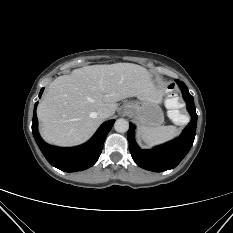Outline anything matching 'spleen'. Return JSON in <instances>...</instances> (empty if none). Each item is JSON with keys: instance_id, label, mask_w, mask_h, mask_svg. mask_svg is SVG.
Here are the masks:
<instances>
[{"instance_id": "3e777b00", "label": "spleen", "mask_w": 233, "mask_h": 233, "mask_svg": "<svg viewBox=\"0 0 233 233\" xmlns=\"http://www.w3.org/2000/svg\"><path fill=\"white\" fill-rule=\"evenodd\" d=\"M167 107L171 108L175 105L174 100L166 101ZM169 118L176 124H184L187 117L180 114L179 110L170 109L168 111ZM142 140L148 146H154L165 143L173 139L178 134V129L175 126H158V127H140L139 129Z\"/></svg>"}]
</instances>
